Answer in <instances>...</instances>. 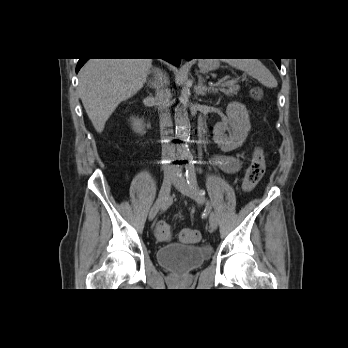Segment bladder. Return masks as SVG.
I'll return each instance as SVG.
<instances>
[{"label":"bladder","mask_w":348,"mask_h":348,"mask_svg":"<svg viewBox=\"0 0 348 348\" xmlns=\"http://www.w3.org/2000/svg\"><path fill=\"white\" fill-rule=\"evenodd\" d=\"M156 254L160 264L183 273L200 266L210 256V250L201 245L172 243L157 249Z\"/></svg>","instance_id":"1"}]
</instances>
